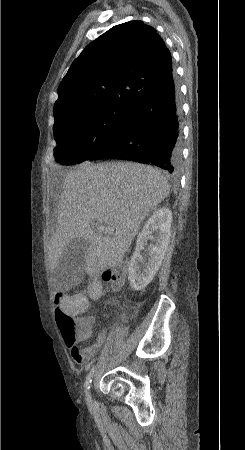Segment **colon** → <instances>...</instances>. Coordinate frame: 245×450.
Here are the masks:
<instances>
[{"mask_svg": "<svg viewBox=\"0 0 245 450\" xmlns=\"http://www.w3.org/2000/svg\"><path fill=\"white\" fill-rule=\"evenodd\" d=\"M102 279L111 282L114 289H120L126 278V265L121 264L113 270H106L102 273ZM60 298L55 296V300ZM56 327L67 344L83 342L91 335V324L84 320H79L59 307L55 315Z\"/></svg>", "mask_w": 245, "mask_h": 450, "instance_id": "obj_1", "label": "colon"}]
</instances>
